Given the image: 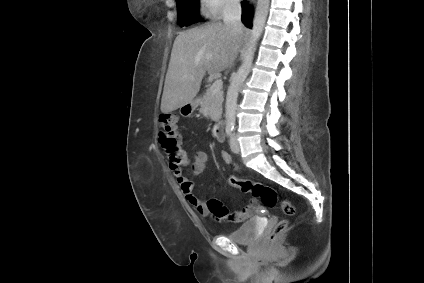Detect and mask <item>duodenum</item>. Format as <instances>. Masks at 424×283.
Masks as SVG:
<instances>
[{
    "label": "duodenum",
    "mask_w": 424,
    "mask_h": 283,
    "mask_svg": "<svg viewBox=\"0 0 424 283\" xmlns=\"http://www.w3.org/2000/svg\"><path fill=\"white\" fill-rule=\"evenodd\" d=\"M223 128H224V123L222 120L216 121V123L213 126V135L217 141H221L223 138Z\"/></svg>",
    "instance_id": "1"
}]
</instances>
